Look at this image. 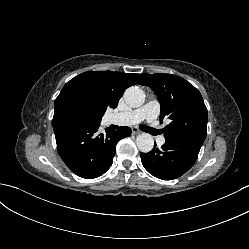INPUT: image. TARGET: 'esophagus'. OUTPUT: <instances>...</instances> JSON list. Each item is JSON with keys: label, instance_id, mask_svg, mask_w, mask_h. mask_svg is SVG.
<instances>
[{"label": "esophagus", "instance_id": "obj_1", "mask_svg": "<svg viewBox=\"0 0 249 249\" xmlns=\"http://www.w3.org/2000/svg\"><path fill=\"white\" fill-rule=\"evenodd\" d=\"M140 133H141V131L137 127L132 128V134L136 135V134H140Z\"/></svg>", "mask_w": 249, "mask_h": 249}]
</instances>
